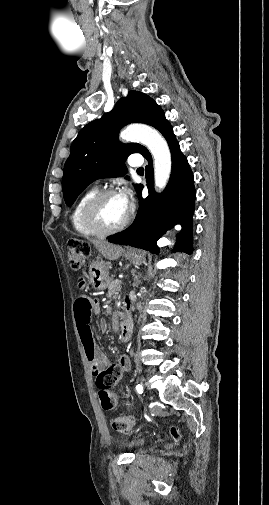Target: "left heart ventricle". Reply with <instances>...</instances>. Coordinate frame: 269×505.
I'll return each mask as SVG.
<instances>
[{"mask_svg":"<svg viewBox=\"0 0 269 505\" xmlns=\"http://www.w3.org/2000/svg\"><path fill=\"white\" fill-rule=\"evenodd\" d=\"M127 214L128 212L123 208L117 195L104 199L97 209L98 219L106 227L119 225Z\"/></svg>","mask_w":269,"mask_h":505,"instance_id":"b2bd125f","label":"left heart ventricle"}]
</instances>
